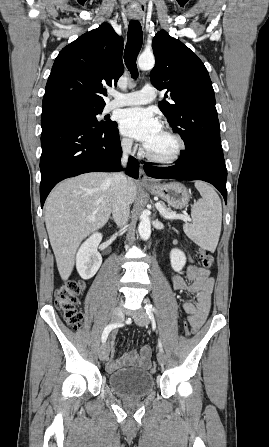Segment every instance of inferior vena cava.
Listing matches in <instances>:
<instances>
[{"label": "inferior vena cava", "mask_w": 269, "mask_h": 447, "mask_svg": "<svg viewBox=\"0 0 269 447\" xmlns=\"http://www.w3.org/2000/svg\"><path fill=\"white\" fill-rule=\"evenodd\" d=\"M133 146L132 140H123L121 142L122 158L121 162L123 166H126L128 162V156L131 154V148ZM111 182L112 192V214L114 222L118 227H124L128 224L130 216L129 200L127 196V178L123 172H117V174H111L109 178Z\"/></svg>", "instance_id": "inferior-vena-cava-1"}]
</instances>
